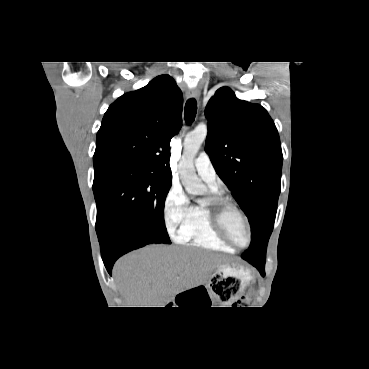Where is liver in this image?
<instances>
[{
	"instance_id": "liver-1",
	"label": "liver",
	"mask_w": 369,
	"mask_h": 369,
	"mask_svg": "<svg viewBox=\"0 0 369 369\" xmlns=\"http://www.w3.org/2000/svg\"><path fill=\"white\" fill-rule=\"evenodd\" d=\"M224 261L198 248L150 245L121 258L113 276L128 307H166L177 294L205 282Z\"/></svg>"
}]
</instances>
